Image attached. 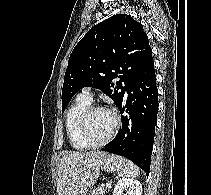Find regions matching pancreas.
<instances>
[{"instance_id":"pancreas-1","label":"pancreas","mask_w":211,"mask_h":195,"mask_svg":"<svg viewBox=\"0 0 211 195\" xmlns=\"http://www.w3.org/2000/svg\"><path fill=\"white\" fill-rule=\"evenodd\" d=\"M106 189H107L106 186L102 184L98 186V188L94 190L91 195H103Z\"/></svg>"}]
</instances>
